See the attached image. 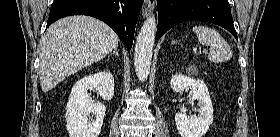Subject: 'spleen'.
<instances>
[{
    "instance_id": "obj_1",
    "label": "spleen",
    "mask_w": 280,
    "mask_h": 137,
    "mask_svg": "<svg viewBox=\"0 0 280 137\" xmlns=\"http://www.w3.org/2000/svg\"><path fill=\"white\" fill-rule=\"evenodd\" d=\"M193 32L201 44L209 46V59L211 61L221 63L232 58L231 47L215 29L206 26H194Z\"/></svg>"
}]
</instances>
